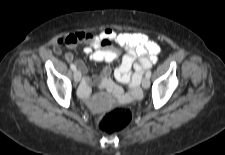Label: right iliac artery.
Instances as JSON below:
<instances>
[{
	"mask_svg": "<svg viewBox=\"0 0 225 155\" xmlns=\"http://www.w3.org/2000/svg\"><path fill=\"white\" fill-rule=\"evenodd\" d=\"M70 68H71L73 71L76 70V66H75L74 64H71V65H70Z\"/></svg>",
	"mask_w": 225,
	"mask_h": 155,
	"instance_id": "82829eb1",
	"label": "right iliac artery"
}]
</instances>
